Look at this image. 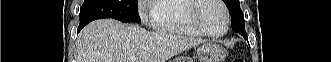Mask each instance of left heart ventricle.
Here are the masks:
<instances>
[{
  "label": "left heart ventricle",
  "mask_w": 331,
  "mask_h": 62,
  "mask_svg": "<svg viewBox=\"0 0 331 62\" xmlns=\"http://www.w3.org/2000/svg\"><path fill=\"white\" fill-rule=\"evenodd\" d=\"M198 17L204 28L210 33L219 34L225 28L223 11L215 2H206L199 9Z\"/></svg>",
  "instance_id": "b2bd125f"
}]
</instances>
